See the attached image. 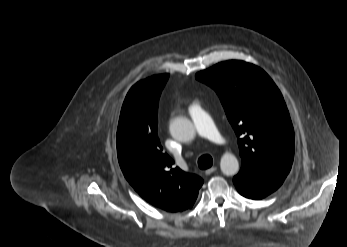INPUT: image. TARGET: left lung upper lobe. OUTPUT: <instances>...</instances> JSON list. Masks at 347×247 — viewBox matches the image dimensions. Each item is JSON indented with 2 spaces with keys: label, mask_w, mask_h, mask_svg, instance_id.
Instances as JSON below:
<instances>
[{
  "label": "left lung upper lobe",
  "mask_w": 347,
  "mask_h": 247,
  "mask_svg": "<svg viewBox=\"0 0 347 247\" xmlns=\"http://www.w3.org/2000/svg\"><path fill=\"white\" fill-rule=\"evenodd\" d=\"M218 94L236 135L241 173L253 177L288 175L294 130L281 92L259 67L231 60L197 73Z\"/></svg>",
  "instance_id": "5c2ea615"
}]
</instances>
